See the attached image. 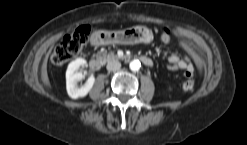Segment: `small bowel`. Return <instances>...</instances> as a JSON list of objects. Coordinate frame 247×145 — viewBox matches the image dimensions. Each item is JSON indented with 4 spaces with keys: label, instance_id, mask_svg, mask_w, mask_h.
I'll list each match as a JSON object with an SVG mask.
<instances>
[{
    "label": "small bowel",
    "instance_id": "1",
    "mask_svg": "<svg viewBox=\"0 0 247 145\" xmlns=\"http://www.w3.org/2000/svg\"><path fill=\"white\" fill-rule=\"evenodd\" d=\"M179 44L185 49L187 55L184 57H180L175 54H171L166 57V61L168 63V68L170 70H184L187 73H192L195 69V65L201 67L202 61L195 53L191 44L184 40L179 39Z\"/></svg>",
    "mask_w": 247,
    "mask_h": 145
}]
</instances>
